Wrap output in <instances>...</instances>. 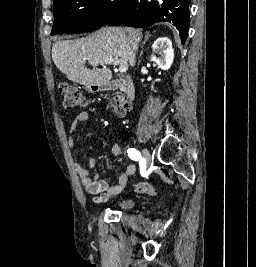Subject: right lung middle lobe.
<instances>
[{
  "label": "right lung middle lobe",
  "instance_id": "right-lung-middle-lobe-1",
  "mask_svg": "<svg viewBox=\"0 0 256 267\" xmlns=\"http://www.w3.org/2000/svg\"><path fill=\"white\" fill-rule=\"evenodd\" d=\"M132 0H56L51 35L89 32L119 18Z\"/></svg>",
  "mask_w": 256,
  "mask_h": 267
}]
</instances>
